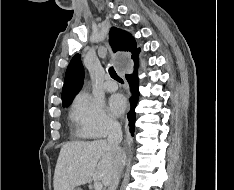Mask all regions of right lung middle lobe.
<instances>
[{"label": "right lung middle lobe", "mask_w": 234, "mask_h": 190, "mask_svg": "<svg viewBox=\"0 0 234 190\" xmlns=\"http://www.w3.org/2000/svg\"><path fill=\"white\" fill-rule=\"evenodd\" d=\"M70 103H71V102H68V103H64V104H62V105H63V107H65V106L70 105Z\"/></svg>", "instance_id": "obj_1"}]
</instances>
